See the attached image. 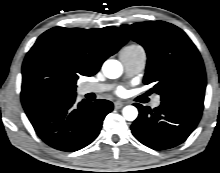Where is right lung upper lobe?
I'll return each mask as SVG.
<instances>
[{
	"instance_id": "1",
	"label": "right lung upper lobe",
	"mask_w": 220,
	"mask_h": 173,
	"mask_svg": "<svg viewBox=\"0 0 220 173\" xmlns=\"http://www.w3.org/2000/svg\"><path fill=\"white\" fill-rule=\"evenodd\" d=\"M118 28L55 27L44 32L22 66L24 108L42 100L70 95L80 76L96 74L102 63L128 41Z\"/></svg>"
}]
</instances>
